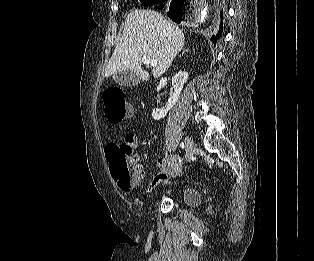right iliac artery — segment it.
Wrapping results in <instances>:
<instances>
[{
  "instance_id": "82829eb1",
  "label": "right iliac artery",
  "mask_w": 314,
  "mask_h": 261,
  "mask_svg": "<svg viewBox=\"0 0 314 261\" xmlns=\"http://www.w3.org/2000/svg\"><path fill=\"white\" fill-rule=\"evenodd\" d=\"M180 147H181V148H184V147H185V145H184L183 142L180 143Z\"/></svg>"
}]
</instances>
